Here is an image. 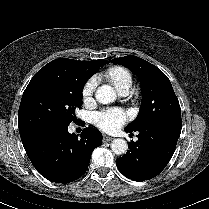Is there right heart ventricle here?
Wrapping results in <instances>:
<instances>
[{"label": "right heart ventricle", "mask_w": 209, "mask_h": 209, "mask_svg": "<svg viewBox=\"0 0 209 209\" xmlns=\"http://www.w3.org/2000/svg\"><path fill=\"white\" fill-rule=\"evenodd\" d=\"M106 76L119 92L123 90H130L132 87V74L124 67H113L107 71Z\"/></svg>", "instance_id": "1"}]
</instances>
